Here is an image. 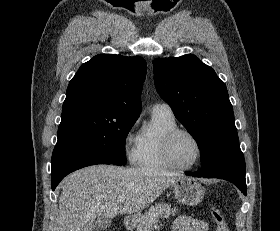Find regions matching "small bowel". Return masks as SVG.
<instances>
[{
  "mask_svg": "<svg viewBox=\"0 0 280 231\" xmlns=\"http://www.w3.org/2000/svg\"><path fill=\"white\" fill-rule=\"evenodd\" d=\"M172 229L173 231H207L208 225L203 220L181 215L174 220Z\"/></svg>",
  "mask_w": 280,
  "mask_h": 231,
  "instance_id": "obj_1",
  "label": "small bowel"
}]
</instances>
